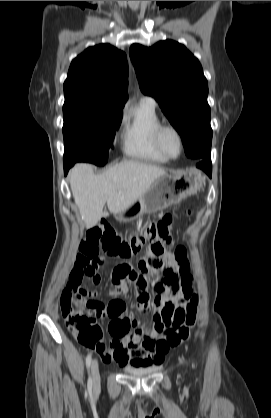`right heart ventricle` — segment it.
I'll use <instances>...</instances> for the list:
<instances>
[{
	"label": "right heart ventricle",
	"mask_w": 271,
	"mask_h": 418,
	"mask_svg": "<svg viewBox=\"0 0 271 418\" xmlns=\"http://www.w3.org/2000/svg\"><path fill=\"white\" fill-rule=\"evenodd\" d=\"M160 124L155 106L141 101L125 119L122 132L123 152L131 158L146 162H167L168 159L157 150L154 143V132Z\"/></svg>",
	"instance_id": "obj_1"
}]
</instances>
